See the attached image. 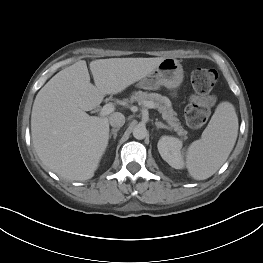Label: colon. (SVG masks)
<instances>
[{"label": "colon", "mask_w": 263, "mask_h": 263, "mask_svg": "<svg viewBox=\"0 0 263 263\" xmlns=\"http://www.w3.org/2000/svg\"><path fill=\"white\" fill-rule=\"evenodd\" d=\"M217 72L209 68H196L191 73V83L199 100L186 109V121L192 128L202 127L208 120L211 102L210 94L217 81Z\"/></svg>", "instance_id": "5ec220e1"}]
</instances>
